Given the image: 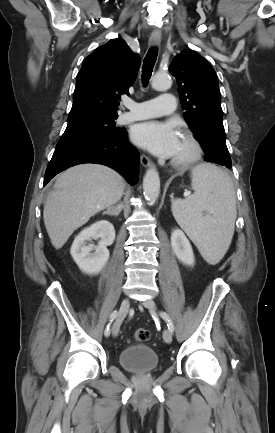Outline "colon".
<instances>
[{
	"instance_id": "1",
	"label": "colon",
	"mask_w": 275,
	"mask_h": 433,
	"mask_svg": "<svg viewBox=\"0 0 275 433\" xmlns=\"http://www.w3.org/2000/svg\"><path fill=\"white\" fill-rule=\"evenodd\" d=\"M150 337V333L145 328H138L134 331V338L138 342L147 341Z\"/></svg>"
}]
</instances>
